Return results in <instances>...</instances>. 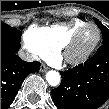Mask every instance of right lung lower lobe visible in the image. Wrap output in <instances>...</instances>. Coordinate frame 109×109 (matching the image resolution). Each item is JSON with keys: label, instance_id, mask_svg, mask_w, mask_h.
I'll use <instances>...</instances> for the list:
<instances>
[{"label": "right lung lower lobe", "instance_id": "98d812e1", "mask_svg": "<svg viewBox=\"0 0 109 109\" xmlns=\"http://www.w3.org/2000/svg\"><path fill=\"white\" fill-rule=\"evenodd\" d=\"M20 46L1 36V109L13 102L26 76L40 69L39 62H25L16 55Z\"/></svg>", "mask_w": 109, "mask_h": 109}]
</instances>
